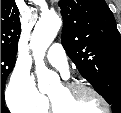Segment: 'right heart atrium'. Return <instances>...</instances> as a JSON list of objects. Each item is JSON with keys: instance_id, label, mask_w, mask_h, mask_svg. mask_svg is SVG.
I'll use <instances>...</instances> for the list:
<instances>
[{"instance_id": "d8ad5b80", "label": "right heart atrium", "mask_w": 121, "mask_h": 113, "mask_svg": "<svg viewBox=\"0 0 121 113\" xmlns=\"http://www.w3.org/2000/svg\"><path fill=\"white\" fill-rule=\"evenodd\" d=\"M6 102L15 113H41L46 106V98L36 88L28 73L16 68L6 87Z\"/></svg>"}]
</instances>
